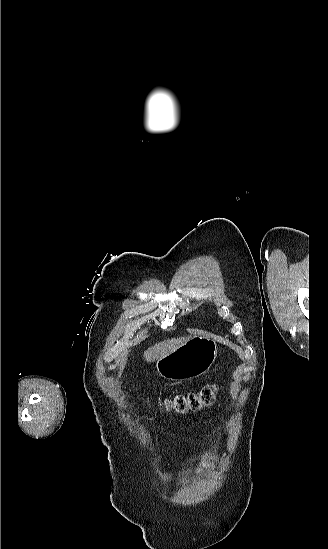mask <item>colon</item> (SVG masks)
Wrapping results in <instances>:
<instances>
[{"label": "colon", "mask_w": 328, "mask_h": 549, "mask_svg": "<svg viewBox=\"0 0 328 549\" xmlns=\"http://www.w3.org/2000/svg\"><path fill=\"white\" fill-rule=\"evenodd\" d=\"M217 395V385H208L198 392H192L184 395H177L172 399H166L162 403L169 409L178 413H185L189 410L198 411L208 407L215 402Z\"/></svg>", "instance_id": "obj_1"}]
</instances>
